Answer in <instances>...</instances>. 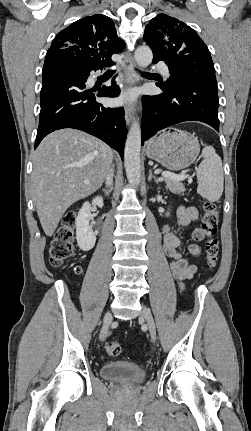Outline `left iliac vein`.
<instances>
[{
	"mask_svg": "<svg viewBox=\"0 0 251 431\" xmlns=\"http://www.w3.org/2000/svg\"><path fill=\"white\" fill-rule=\"evenodd\" d=\"M140 316H141V318H143L146 321L150 335L152 337V341L155 342V340H156V327H155L154 319L152 317L150 310L147 307L143 306Z\"/></svg>",
	"mask_w": 251,
	"mask_h": 431,
	"instance_id": "obj_1",
	"label": "left iliac vein"
}]
</instances>
